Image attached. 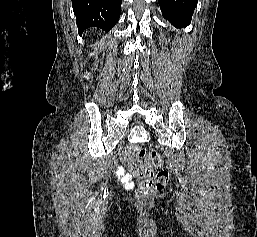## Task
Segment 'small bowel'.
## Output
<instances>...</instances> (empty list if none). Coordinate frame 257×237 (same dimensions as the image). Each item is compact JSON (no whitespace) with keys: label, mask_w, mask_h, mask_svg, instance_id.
<instances>
[{"label":"small bowel","mask_w":257,"mask_h":237,"mask_svg":"<svg viewBox=\"0 0 257 237\" xmlns=\"http://www.w3.org/2000/svg\"><path fill=\"white\" fill-rule=\"evenodd\" d=\"M124 161L127 162L128 158H124ZM117 176L120 177L125 182H129L131 180V176L127 174L122 167H119L117 169Z\"/></svg>","instance_id":"obj_1"}]
</instances>
